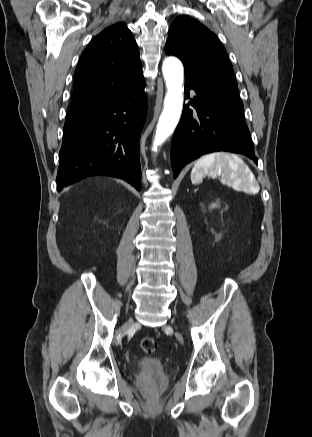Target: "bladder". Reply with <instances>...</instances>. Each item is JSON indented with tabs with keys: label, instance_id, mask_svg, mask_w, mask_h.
I'll list each match as a JSON object with an SVG mask.
<instances>
[{
	"label": "bladder",
	"instance_id": "1",
	"mask_svg": "<svg viewBox=\"0 0 312 437\" xmlns=\"http://www.w3.org/2000/svg\"><path fill=\"white\" fill-rule=\"evenodd\" d=\"M137 369L142 375L152 376L162 373L165 365L158 359L145 357L137 363Z\"/></svg>",
	"mask_w": 312,
	"mask_h": 437
}]
</instances>
